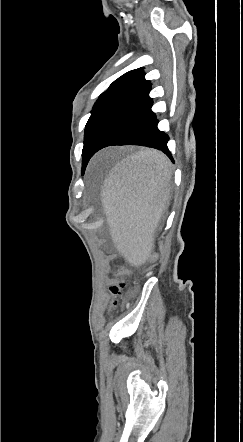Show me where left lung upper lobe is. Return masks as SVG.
I'll list each match as a JSON object with an SVG mask.
<instances>
[{"instance_id":"obj_1","label":"left lung upper lobe","mask_w":243,"mask_h":442,"mask_svg":"<svg viewBox=\"0 0 243 442\" xmlns=\"http://www.w3.org/2000/svg\"><path fill=\"white\" fill-rule=\"evenodd\" d=\"M145 73L142 68L135 69L123 74L121 77L116 79L105 91L101 94L93 106L91 111V116L85 127L84 135V147L83 152L90 141L95 129L101 122L103 117L108 113V111L126 94L135 89L141 83L145 81ZM88 162L82 161V173H84Z\"/></svg>"}]
</instances>
